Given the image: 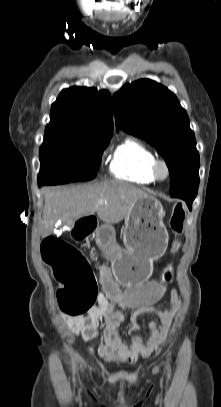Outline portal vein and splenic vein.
<instances>
[{"label":"portal vein and splenic vein","instance_id":"1","mask_svg":"<svg viewBox=\"0 0 221 407\" xmlns=\"http://www.w3.org/2000/svg\"><path fill=\"white\" fill-rule=\"evenodd\" d=\"M106 201H104V200H99V204H103V203H105Z\"/></svg>","mask_w":221,"mask_h":407}]
</instances>
